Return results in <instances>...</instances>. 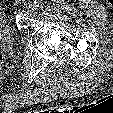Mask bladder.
<instances>
[{
	"label": "bladder",
	"mask_w": 113,
	"mask_h": 113,
	"mask_svg": "<svg viewBox=\"0 0 113 113\" xmlns=\"http://www.w3.org/2000/svg\"><path fill=\"white\" fill-rule=\"evenodd\" d=\"M14 40L12 29L7 21L6 12L0 5V50L9 46Z\"/></svg>",
	"instance_id": "1"
}]
</instances>
